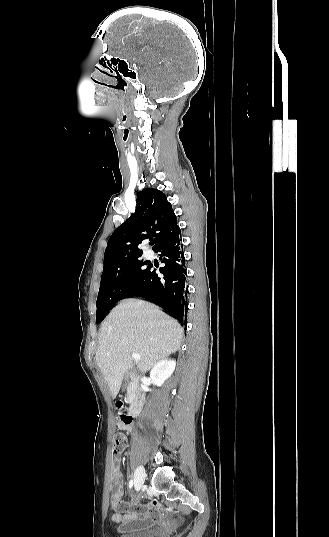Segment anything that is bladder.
Here are the masks:
<instances>
[{"instance_id": "1", "label": "bladder", "mask_w": 329, "mask_h": 537, "mask_svg": "<svg viewBox=\"0 0 329 537\" xmlns=\"http://www.w3.org/2000/svg\"><path fill=\"white\" fill-rule=\"evenodd\" d=\"M119 537H154L151 530H135L121 534Z\"/></svg>"}]
</instances>
